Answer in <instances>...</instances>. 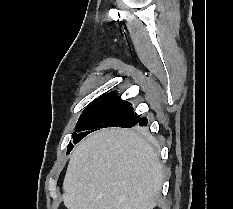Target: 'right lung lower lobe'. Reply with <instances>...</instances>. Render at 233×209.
<instances>
[{
	"label": "right lung lower lobe",
	"mask_w": 233,
	"mask_h": 209,
	"mask_svg": "<svg viewBox=\"0 0 233 209\" xmlns=\"http://www.w3.org/2000/svg\"><path fill=\"white\" fill-rule=\"evenodd\" d=\"M137 124H139L140 126H146L147 119L145 117L140 118ZM115 127H125V126H115ZM125 128H128V127H125Z\"/></svg>",
	"instance_id": "98d812e1"
}]
</instances>
